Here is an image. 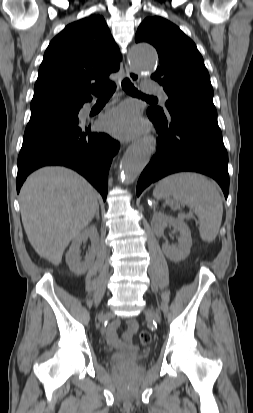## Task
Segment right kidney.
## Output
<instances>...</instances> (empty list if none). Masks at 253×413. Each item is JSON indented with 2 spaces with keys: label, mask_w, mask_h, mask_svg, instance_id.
<instances>
[{
  "label": "right kidney",
  "mask_w": 253,
  "mask_h": 413,
  "mask_svg": "<svg viewBox=\"0 0 253 413\" xmlns=\"http://www.w3.org/2000/svg\"><path fill=\"white\" fill-rule=\"evenodd\" d=\"M91 240L89 253L86 254L85 261L81 262L80 245L87 239ZM99 250V234L96 226L87 227L81 234L73 239L69 251L66 253V263L71 272L81 275L92 266L95 256Z\"/></svg>",
  "instance_id": "ca27d5eb"
}]
</instances>
